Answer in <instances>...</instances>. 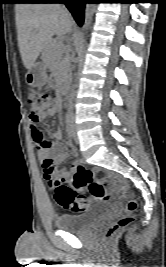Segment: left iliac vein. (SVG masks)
<instances>
[{
    "instance_id": "left-iliac-vein-1",
    "label": "left iliac vein",
    "mask_w": 166,
    "mask_h": 267,
    "mask_svg": "<svg viewBox=\"0 0 166 267\" xmlns=\"http://www.w3.org/2000/svg\"><path fill=\"white\" fill-rule=\"evenodd\" d=\"M72 132H73L74 139L77 142L78 138H77V135H76V129H75V125H74L73 121H72Z\"/></svg>"
}]
</instances>
